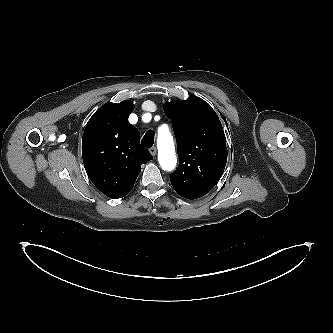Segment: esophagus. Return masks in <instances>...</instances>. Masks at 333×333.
<instances>
[{
	"label": "esophagus",
	"mask_w": 333,
	"mask_h": 333,
	"mask_svg": "<svg viewBox=\"0 0 333 333\" xmlns=\"http://www.w3.org/2000/svg\"><path fill=\"white\" fill-rule=\"evenodd\" d=\"M149 152L151 153L152 156H155V155H156V152H157L156 147H155V146L151 147V148L149 149Z\"/></svg>",
	"instance_id": "esophagus-1"
}]
</instances>
